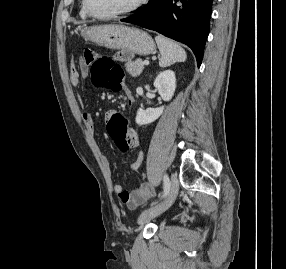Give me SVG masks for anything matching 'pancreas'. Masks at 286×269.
I'll use <instances>...</instances> for the list:
<instances>
[{"instance_id": "cf45deb5", "label": "pancreas", "mask_w": 286, "mask_h": 269, "mask_svg": "<svg viewBox=\"0 0 286 269\" xmlns=\"http://www.w3.org/2000/svg\"><path fill=\"white\" fill-rule=\"evenodd\" d=\"M126 71L132 75L133 77L139 76L143 69H144V63L141 59H136L134 61L129 60L126 64Z\"/></svg>"}]
</instances>
